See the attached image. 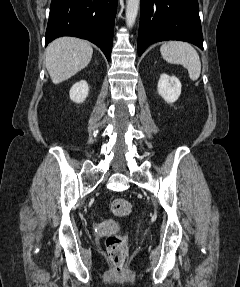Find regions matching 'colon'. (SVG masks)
Instances as JSON below:
<instances>
[{
	"instance_id": "5ec220e1",
	"label": "colon",
	"mask_w": 240,
	"mask_h": 287,
	"mask_svg": "<svg viewBox=\"0 0 240 287\" xmlns=\"http://www.w3.org/2000/svg\"><path fill=\"white\" fill-rule=\"evenodd\" d=\"M111 211L116 217L127 216L131 212V204L123 198L115 199ZM106 250L112 265L120 270L128 257V237L112 235L106 239Z\"/></svg>"
}]
</instances>
